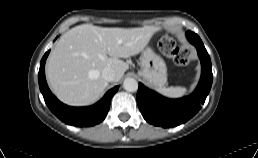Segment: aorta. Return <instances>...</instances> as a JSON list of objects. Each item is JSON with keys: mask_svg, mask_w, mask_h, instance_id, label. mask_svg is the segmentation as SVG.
Listing matches in <instances>:
<instances>
[{"mask_svg": "<svg viewBox=\"0 0 258 158\" xmlns=\"http://www.w3.org/2000/svg\"><path fill=\"white\" fill-rule=\"evenodd\" d=\"M123 87L128 92H135L138 89V82L134 78H126Z\"/></svg>", "mask_w": 258, "mask_h": 158, "instance_id": "1", "label": "aorta"}]
</instances>
